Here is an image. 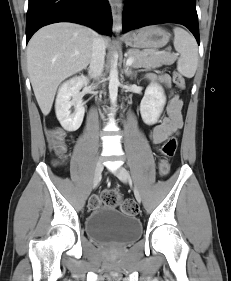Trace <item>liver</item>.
Masks as SVG:
<instances>
[{
  "label": "liver",
  "mask_w": 231,
  "mask_h": 281,
  "mask_svg": "<svg viewBox=\"0 0 231 281\" xmlns=\"http://www.w3.org/2000/svg\"><path fill=\"white\" fill-rule=\"evenodd\" d=\"M95 32L74 23H55L37 31L27 47V68L38 105L51 111L60 83L90 63ZM105 45L106 38H102Z\"/></svg>",
  "instance_id": "1"
}]
</instances>
